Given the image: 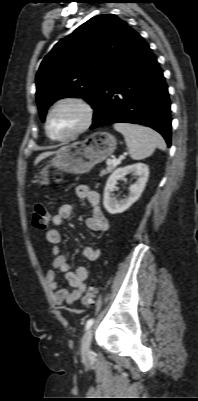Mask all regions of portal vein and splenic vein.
Here are the masks:
<instances>
[{"label": "portal vein and splenic vein", "instance_id": "1", "mask_svg": "<svg viewBox=\"0 0 198 401\" xmlns=\"http://www.w3.org/2000/svg\"><path fill=\"white\" fill-rule=\"evenodd\" d=\"M123 158H124V157L121 156V158H120V159H117V160H111V159H109V160H107V164L114 163L115 165H117V164L120 163V160L123 159Z\"/></svg>", "mask_w": 198, "mask_h": 401}]
</instances>
